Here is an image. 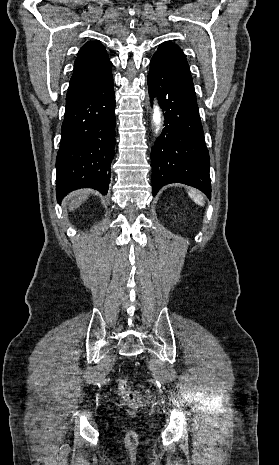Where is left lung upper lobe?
<instances>
[{"mask_svg":"<svg viewBox=\"0 0 279 465\" xmlns=\"http://www.w3.org/2000/svg\"><path fill=\"white\" fill-rule=\"evenodd\" d=\"M154 55L176 59L188 65L183 51L176 44L169 41L163 42Z\"/></svg>","mask_w":279,"mask_h":465,"instance_id":"obj_1","label":"left lung upper lobe"}]
</instances>
